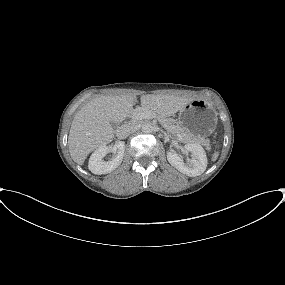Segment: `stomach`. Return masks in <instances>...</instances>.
Segmentation results:
<instances>
[{"label":"stomach","instance_id":"obj_1","mask_svg":"<svg viewBox=\"0 0 285 285\" xmlns=\"http://www.w3.org/2000/svg\"><path fill=\"white\" fill-rule=\"evenodd\" d=\"M217 112L205 99H194L178 113L177 123L192 138H204L212 134L217 125Z\"/></svg>","mask_w":285,"mask_h":285}]
</instances>
